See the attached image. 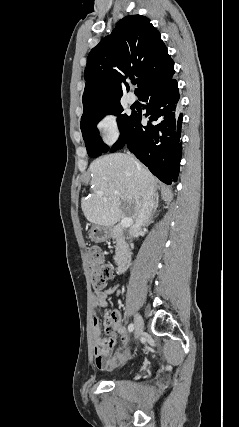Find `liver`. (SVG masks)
Returning a JSON list of instances; mask_svg holds the SVG:
<instances>
[{
    "mask_svg": "<svg viewBox=\"0 0 239 427\" xmlns=\"http://www.w3.org/2000/svg\"><path fill=\"white\" fill-rule=\"evenodd\" d=\"M92 194L82 198L86 219L95 225L111 227L126 216L140 215L144 196H150L145 216L154 205L156 178L130 154L113 153L101 156L89 166ZM123 202L128 204L124 209Z\"/></svg>",
    "mask_w": 239,
    "mask_h": 427,
    "instance_id": "6515ba94",
    "label": "liver"
}]
</instances>
